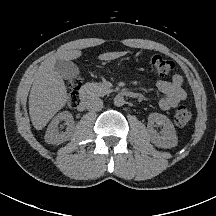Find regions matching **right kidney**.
I'll list each match as a JSON object with an SVG mask.
<instances>
[{
  "instance_id": "1",
  "label": "right kidney",
  "mask_w": 216,
  "mask_h": 216,
  "mask_svg": "<svg viewBox=\"0 0 216 216\" xmlns=\"http://www.w3.org/2000/svg\"><path fill=\"white\" fill-rule=\"evenodd\" d=\"M61 121H65L67 125L65 132H59L58 125ZM74 129V118L71 113L64 111L56 115L49 124L46 134L45 142L49 144H61L68 141L72 136Z\"/></svg>"
}]
</instances>
